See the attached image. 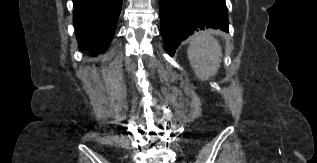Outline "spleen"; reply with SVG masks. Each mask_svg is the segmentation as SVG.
Masks as SVG:
<instances>
[{
    "mask_svg": "<svg viewBox=\"0 0 317 163\" xmlns=\"http://www.w3.org/2000/svg\"><path fill=\"white\" fill-rule=\"evenodd\" d=\"M190 40L187 51L190 64L199 79H209L220 67L221 46L208 31L195 33Z\"/></svg>",
    "mask_w": 317,
    "mask_h": 163,
    "instance_id": "spleen-1",
    "label": "spleen"
}]
</instances>
